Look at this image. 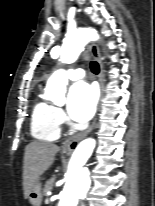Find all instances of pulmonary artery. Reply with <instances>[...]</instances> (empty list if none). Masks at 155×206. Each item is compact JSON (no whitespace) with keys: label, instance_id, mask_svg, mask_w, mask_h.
<instances>
[{"label":"pulmonary artery","instance_id":"obj_1","mask_svg":"<svg viewBox=\"0 0 155 206\" xmlns=\"http://www.w3.org/2000/svg\"><path fill=\"white\" fill-rule=\"evenodd\" d=\"M83 76H84V70L81 67L70 69L67 71V77L71 80H77L79 78H82Z\"/></svg>","mask_w":155,"mask_h":206}]
</instances>
